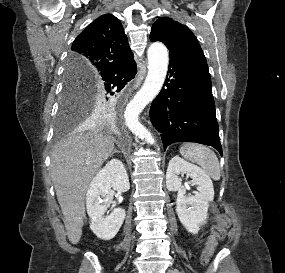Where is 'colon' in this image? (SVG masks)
<instances>
[{"label":"colon","instance_id":"obj_1","mask_svg":"<svg viewBox=\"0 0 285 273\" xmlns=\"http://www.w3.org/2000/svg\"><path fill=\"white\" fill-rule=\"evenodd\" d=\"M229 225L230 221L224 214L220 212L215 213L214 225L211 229V233L206 242V247L202 256V261L204 264L208 263L213 256L218 240L224 236Z\"/></svg>","mask_w":285,"mask_h":273}]
</instances>
